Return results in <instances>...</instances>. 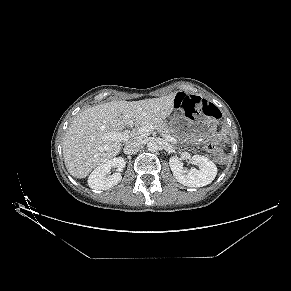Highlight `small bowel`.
Segmentation results:
<instances>
[{
    "instance_id": "1",
    "label": "small bowel",
    "mask_w": 291,
    "mask_h": 291,
    "mask_svg": "<svg viewBox=\"0 0 291 291\" xmlns=\"http://www.w3.org/2000/svg\"><path fill=\"white\" fill-rule=\"evenodd\" d=\"M184 94V93H183ZM185 95H189V94H185ZM190 96H195V95H190Z\"/></svg>"
}]
</instances>
